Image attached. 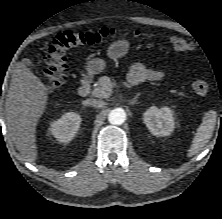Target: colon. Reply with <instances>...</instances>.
Here are the masks:
<instances>
[{"instance_id": "colon-1", "label": "colon", "mask_w": 222, "mask_h": 219, "mask_svg": "<svg viewBox=\"0 0 222 219\" xmlns=\"http://www.w3.org/2000/svg\"><path fill=\"white\" fill-rule=\"evenodd\" d=\"M117 31L113 28H102L92 32L66 31L56 36L49 46L45 56V78L50 88L62 86L68 76L67 53L78 46H91L100 44L107 39L115 37ZM131 37H143L139 31H131ZM171 46L178 52H188L192 49V43L182 37L172 36L169 39ZM210 84L207 80L197 78L192 82L195 93L205 95L209 91Z\"/></svg>"}]
</instances>
